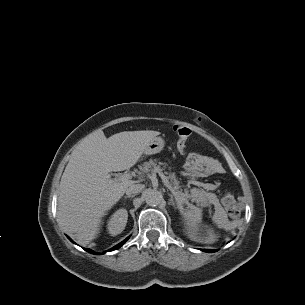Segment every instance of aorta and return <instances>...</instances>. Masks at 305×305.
Here are the masks:
<instances>
[{
    "label": "aorta",
    "instance_id": "762f6f07",
    "mask_svg": "<svg viewBox=\"0 0 305 305\" xmlns=\"http://www.w3.org/2000/svg\"><path fill=\"white\" fill-rule=\"evenodd\" d=\"M144 198L149 206H157L162 201V194L155 189H148L145 191Z\"/></svg>",
    "mask_w": 305,
    "mask_h": 305
}]
</instances>
